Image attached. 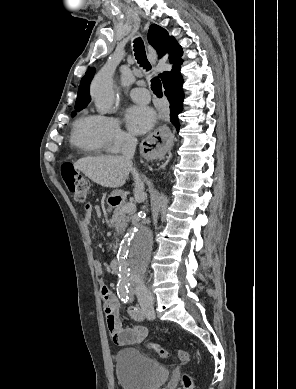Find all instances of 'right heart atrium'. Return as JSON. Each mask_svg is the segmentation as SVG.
Instances as JSON below:
<instances>
[{
    "mask_svg": "<svg viewBox=\"0 0 296 389\" xmlns=\"http://www.w3.org/2000/svg\"><path fill=\"white\" fill-rule=\"evenodd\" d=\"M103 134L108 150L112 152L120 151L124 146L132 142V137L121 126L116 117H102Z\"/></svg>",
    "mask_w": 296,
    "mask_h": 389,
    "instance_id": "d8ad5b80",
    "label": "right heart atrium"
}]
</instances>
